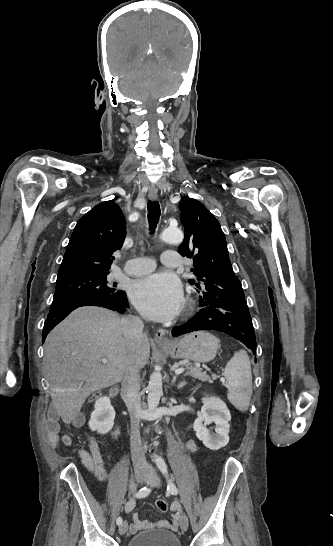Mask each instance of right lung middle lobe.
I'll list each match as a JSON object with an SVG mask.
<instances>
[{
    "label": "right lung middle lobe",
    "instance_id": "right-lung-middle-lobe-1",
    "mask_svg": "<svg viewBox=\"0 0 333 546\" xmlns=\"http://www.w3.org/2000/svg\"><path fill=\"white\" fill-rule=\"evenodd\" d=\"M109 272L81 273L57 278L54 300L84 296L113 295L119 290L116 285L108 284Z\"/></svg>",
    "mask_w": 333,
    "mask_h": 546
}]
</instances>
